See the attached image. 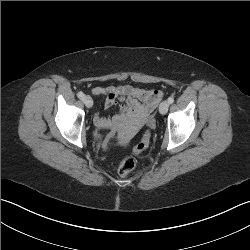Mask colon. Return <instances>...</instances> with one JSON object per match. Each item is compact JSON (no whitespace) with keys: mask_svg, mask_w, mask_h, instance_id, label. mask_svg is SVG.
Instances as JSON below:
<instances>
[{"mask_svg":"<svg viewBox=\"0 0 250 250\" xmlns=\"http://www.w3.org/2000/svg\"><path fill=\"white\" fill-rule=\"evenodd\" d=\"M154 125V121L149 119L147 121V130L143 135L141 141L133 148L132 155L126 156L123 158L118 167V174L120 176H126L129 172H131L136 166V155H139L143 152L150 141L151 129ZM116 136V133L113 130H109L104 136V141L102 142V148L108 149L110 147V141Z\"/></svg>","mask_w":250,"mask_h":250,"instance_id":"1","label":"colon"}]
</instances>
